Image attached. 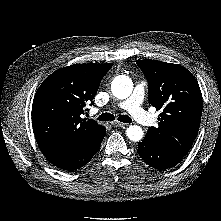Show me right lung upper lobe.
Wrapping results in <instances>:
<instances>
[{
  "label": "right lung upper lobe",
  "mask_w": 221,
  "mask_h": 221,
  "mask_svg": "<svg viewBox=\"0 0 221 221\" xmlns=\"http://www.w3.org/2000/svg\"><path fill=\"white\" fill-rule=\"evenodd\" d=\"M112 66L74 64L55 71L43 81L32 105V127L40 149L77 151L100 138L105 127L80 116L86 102L93 105L100 82Z\"/></svg>",
  "instance_id": "1"
}]
</instances>
